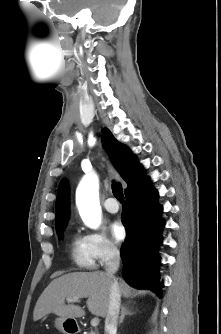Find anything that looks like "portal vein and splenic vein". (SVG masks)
I'll list each match as a JSON object with an SVG mask.
<instances>
[{"label": "portal vein and splenic vein", "mask_w": 221, "mask_h": 334, "mask_svg": "<svg viewBox=\"0 0 221 334\" xmlns=\"http://www.w3.org/2000/svg\"><path fill=\"white\" fill-rule=\"evenodd\" d=\"M67 302L71 303V302H79V299L78 298H67L66 299ZM99 318L98 317H94L92 320H91V325L93 327H96L98 324H99Z\"/></svg>", "instance_id": "1"}]
</instances>
